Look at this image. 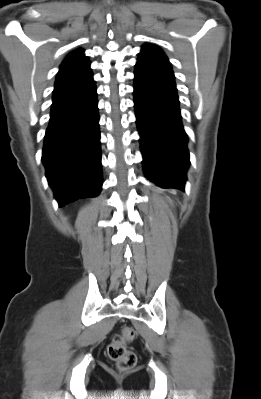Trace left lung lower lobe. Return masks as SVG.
Wrapping results in <instances>:
<instances>
[{"label":"left lung lower lobe","mask_w":261,"mask_h":399,"mask_svg":"<svg viewBox=\"0 0 261 399\" xmlns=\"http://www.w3.org/2000/svg\"><path fill=\"white\" fill-rule=\"evenodd\" d=\"M135 67L136 123L146 176L161 187L183 190L190 161L174 74L156 65Z\"/></svg>","instance_id":"left-lung-lower-lobe-1"}]
</instances>
